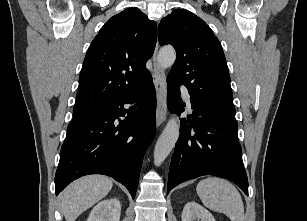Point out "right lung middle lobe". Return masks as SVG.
<instances>
[{"label": "right lung middle lobe", "instance_id": "obj_1", "mask_svg": "<svg viewBox=\"0 0 307 221\" xmlns=\"http://www.w3.org/2000/svg\"><path fill=\"white\" fill-rule=\"evenodd\" d=\"M103 105H84L76 106L73 111V118L71 122L83 119L96 111H98Z\"/></svg>", "mask_w": 307, "mask_h": 221}]
</instances>
